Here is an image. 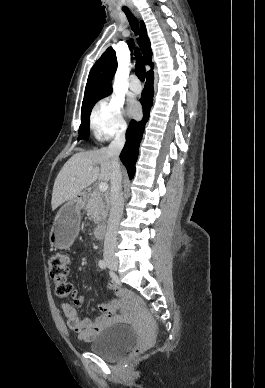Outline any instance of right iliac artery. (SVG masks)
I'll return each instance as SVG.
<instances>
[{"label":"right iliac artery","instance_id":"obj_1","mask_svg":"<svg viewBox=\"0 0 265 388\" xmlns=\"http://www.w3.org/2000/svg\"><path fill=\"white\" fill-rule=\"evenodd\" d=\"M98 265L101 269H106V267H107V263L104 259L100 260Z\"/></svg>","mask_w":265,"mask_h":388}]
</instances>
